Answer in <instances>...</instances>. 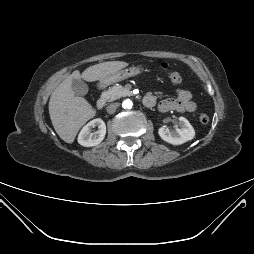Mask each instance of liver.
<instances>
[{
    "label": "liver",
    "mask_w": 254,
    "mask_h": 254,
    "mask_svg": "<svg viewBox=\"0 0 254 254\" xmlns=\"http://www.w3.org/2000/svg\"><path fill=\"white\" fill-rule=\"evenodd\" d=\"M128 66L123 61H108L93 65L83 71L78 70L68 76L53 91L49 101V114L53 127L59 137L67 143H72L80 128L96 111L83 97L75 96L72 89L74 79H84L88 82L101 80Z\"/></svg>",
    "instance_id": "6515ba94"
}]
</instances>
